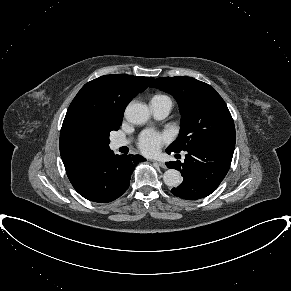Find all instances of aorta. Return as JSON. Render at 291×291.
Instances as JSON below:
<instances>
[{
    "instance_id": "1",
    "label": "aorta",
    "mask_w": 291,
    "mask_h": 291,
    "mask_svg": "<svg viewBox=\"0 0 291 291\" xmlns=\"http://www.w3.org/2000/svg\"><path fill=\"white\" fill-rule=\"evenodd\" d=\"M126 119L133 124H143L148 121L150 111L146 104L131 102L125 109ZM164 183L169 187H177L182 182L181 173L176 169H168L163 175Z\"/></svg>"
}]
</instances>
